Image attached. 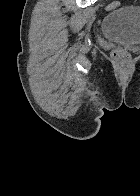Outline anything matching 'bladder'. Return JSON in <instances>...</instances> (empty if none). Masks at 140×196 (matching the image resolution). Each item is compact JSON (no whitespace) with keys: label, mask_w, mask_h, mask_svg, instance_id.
<instances>
[{"label":"bladder","mask_w":140,"mask_h":196,"mask_svg":"<svg viewBox=\"0 0 140 196\" xmlns=\"http://www.w3.org/2000/svg\"><path fill=\"white\" fill-rule=\"evenodd\" d=\"M104 32L112 40L127 44L140 43V8L128 5L109 12Z\"/></svg>","instance_id":"obj_1"}]
</instances>
